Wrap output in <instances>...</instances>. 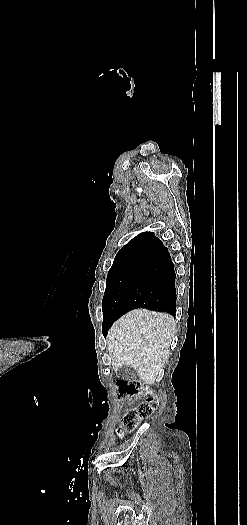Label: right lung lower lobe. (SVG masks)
<instances>
[{"label": "right lung lower lobe", "mask_w": 247, "mask_h": 525, "mask_svg": "<svg viewBox=\"0 0 247 525\" xmlns=\"http://www.w3.org/2000/svg\"><path fill=\"white\" fill-rule=\"evenodd\" d=\"M175 278L173 262L166 249L156 256L151 266L126 296L119 308V315L122 316L133 309L145 308L167 312L175 316ZM109 329V327H102L104 336L107 335Z\"/></svg>", "instance_id": "obj_1"}]
</instances>
